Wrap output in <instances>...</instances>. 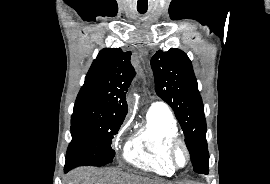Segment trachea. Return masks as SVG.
<instances>
[{
    "mask_svg": "<svg viewBox=\"0 0 270 184\" xmlns=\"http://www.w3.org/2000/svg\"><path fill=\"white\" fill-rule=\"evenodd\" d=\"M139 13L144 14L146 13V10H138Z\"/></svg>",
    "mask_w": 270,
    "mask_h": 184,
    "instance_id": "trachea-1",
    "label": "trachea"
}]
</instances>
